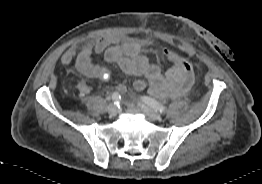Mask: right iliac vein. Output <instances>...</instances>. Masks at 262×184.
I'll return each mask as SVG.
<instances>
[{"label":"right iliac vein","instance_id":"obj_1","mask_svg":"<svg viewBox=\"0 0 262 184\" xmlns=\"http://www.w3.org/2000/svg\"><path fill=\"white\" fill-rule=\"evenodd\" d=\"M107 111L111 116H115L117 114L118 108L115 104H110L107 107Z\"/></svg>","mask_w":262,"mask_h":184}]
</instances>
